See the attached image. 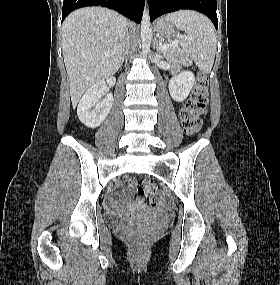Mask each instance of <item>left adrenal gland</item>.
Returning <instances> with one entry per match:
<instances>
[{"label":"left adrenal gland","mask_w":280,"mask_h":285,"mask_svg":"<svg viewBox=\"0 0 280 285\" xmlns=\"http://www.w3.org/2000/svg\"><path fill=\"white\" fill-rule=\"evenodd\" d=\"M154 47L156 48L157 53H159V54L162 53L159 49V41H158L157 37L154 39Z\"/></svg>","instance_id":"obj_1"}]
</instances>
